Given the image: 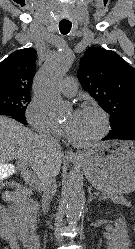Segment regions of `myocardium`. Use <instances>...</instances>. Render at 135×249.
Here are the masks:
<instances>
[{
    "instance_id": "obj_1",
    "label": "myocardium",
    "mask_w": 135,
    "mask_h": 249,
    "mask_svg": "<svg viewBox=\"0 0 135 249\" xmlns=\"http://www.w3.org/2000/svg\"><path fill=\"white\" fill-rule=\"evenodd\" d=\"M82 109H90V110L95 111L96 113L99 114L101 121H102L101 131L95 137L87 141L75 140L73 137L70 136V134L66 130L67 139L69 140L70 143H72L76 147L85 148V147L93 146L94 144L98 143L108 134L109 129H110V122H109V117L106 111L96 103H92V102L82 103L81 106L79 107V110H82Z\"/></svg>"
}]
</instances>
